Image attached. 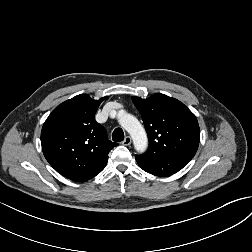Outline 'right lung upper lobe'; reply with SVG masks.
Segmentation results:
<instances>
[{"mask_svg":"<svg viewBox=\"0 0 252 252\" xmlns=\"http://www.w3.org/2000/svg\"><path fill=\"white\" fill-rule=\"evenodd\" d=\"M87 94L75 96L57 106L41 131L42 151L50 165L71 180L104 168L110 150L117 146L108 140L95 113L102 101Z\"/></svg>","mask_w":252,"mask_h":252,"instance_id":"cb5924a9","label":"right lung upper lobe"}]
</instances>
